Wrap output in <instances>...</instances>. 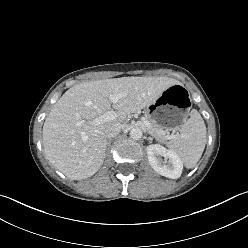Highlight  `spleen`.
Here are the masks:
<instances>
[{"instance_id":"3e777b00","label":"spleen","mask_w":248,"mask_h":248,"mask_svg":"<svg viewBox=\"0 0 248 248\" xmlns=\"http://www.w3.org/2000/svg\"><path fill=\"white\" fill-rule=\"evenodd\" d=\"M169 148L176 153L186 168H193L202 156L206 144V126L199 112L193 109L190 118L179 129Z\"/></svg>"}]
</instances>
